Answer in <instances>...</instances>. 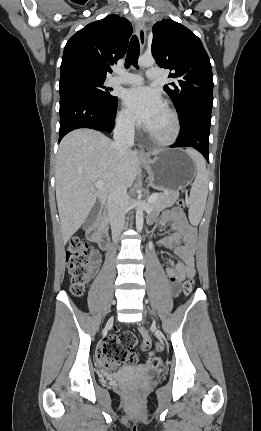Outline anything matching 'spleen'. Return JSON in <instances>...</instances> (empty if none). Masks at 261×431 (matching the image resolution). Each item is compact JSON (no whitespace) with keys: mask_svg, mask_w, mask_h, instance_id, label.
Instances as JSON below:
<instances>
[{"mask_svg":"<svg viewBox=\"0 0 261 431\" xmlns=\"http://www.w3.org/2000/svg\"><path fill=\"white\" fill-rule=\"evenodd\" d=\"M186 153L196 164V177L190 192V211L192 214L201 217L208 194V172L203 157L192 149H187Z\"/></svg>","mask_w":261,"mask_h":431,"instance_id":"spleen-1","label":"spleen"}]
</instances>
